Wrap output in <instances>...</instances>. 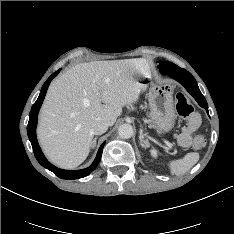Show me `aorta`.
Wrapping results in <instances>:
<instances>
[{
	"label": "aorta",
	"instance_id": "aorta-1",
	"mask_svg": "<svg viewBox=\"0 0 234 234\" xmlns=\"http://www.w3.org/2000/svg\"><path fill=\"white\" fill-rule=\"evenodd\" d=\"M118 135L123 139L131 138L133 135V128L130 124H122L118 128Z\"/></svg>",
	"mask_w": 234,
	"mask_h": 234
}]
</instances>
